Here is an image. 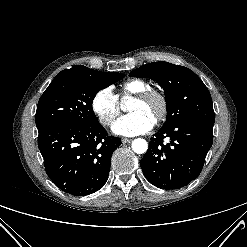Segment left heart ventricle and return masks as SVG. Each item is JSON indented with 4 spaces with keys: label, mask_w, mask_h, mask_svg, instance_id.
Returning <instances> with one entry per match:
<instances>
[{
    "label": "left heart ventricle",
    "mask_w": 247,
    "mask_h": 247,
    "mask_svg": "<svg viewBox=\"0 0 247 247\" xmlns=\"http://www.w3.org/2000/svg\"><path fill=\"white\" fill-rule=\"evenodd\" d=\"M159 107H160L159 102L155 99L149 102H140L138 100H134L131 103L129 110L131 112H136V111L144 112L145 114L155 119L159 111Z\"/></svg>",
    "instance_id": "b2bd125f"
}]
</instances>
